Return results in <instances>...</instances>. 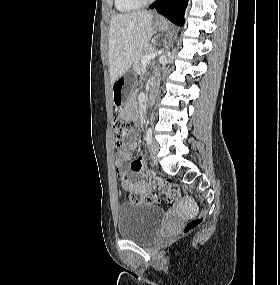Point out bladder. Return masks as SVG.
Segmentation results:
<instances>
[{"mask_svg":"<svg viewBox=\"0 0 280 285\" xmlns=\"http://www.w3.org/2000/svg\"><path fill=\"white\" fill-rule=\"evenodd\" d=\"M163 218L164 212L157 206L122 203L117 214L118 235L126 240L149 243L158 235Z\"/></svg>","mask_w":280,"mask_h":285,"instance_id":"1","label":"bladder"}]
</instances>
